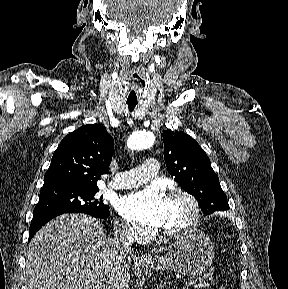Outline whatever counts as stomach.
I'll list each match as a JSON object with an SVG mask.
<instances>
[{
	"mask_svg": "<svg viewBox=\"0 0 288 289\" xmlns=\"http://www.w3.org/2000/svg\"><path fill=\"white\" fill-rule=\"evenodd\" d=\"M214 255V244L210 238L197 231L172 243L164 256L148 260L144 265L155 270L196 276L212 264Z\"/></svg>",
	"mask_w": 288,
	"mask_h": 289,
	"instance_id": "1",
	"label": "stomach"
}]
</instances>
